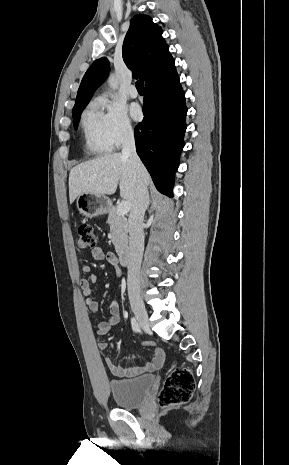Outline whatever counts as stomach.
<instances>
[{"label": "stomach", "mask_w": 289, "mask_h": 465, "mask_svg": "<svg viewBox=\"0 0 289 465\" xmlns=\"http://www.w3.org/2000/svg\"><path fill=\"white\" fill-rule=\"evenodd\" d=\"M76 206L80 214L94 218L108 212L111 200L105 195L82 193L77 197Z\"/></svg>", "instance_id": "1"}]
</instances>
